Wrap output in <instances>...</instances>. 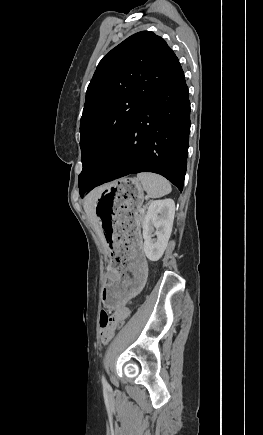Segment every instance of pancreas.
<instances>
[{"instance_id": "pancreas-1", "label": "pancreas", "mask_w": 263, "mask_h": 435, "mask_svg": "<svg viewBox=\"0 0 263 435\" xmlns=\"http://www.w3.org/2000/svg\"><path fill=\"white\" fill-rule=\"evenodd\" d=\"M146 208L147 207L145 206V208H144V210L142 212L139 209V215L137 216V219H138L139 222H143L144 217H145V210H146Z\"/></svg>"}]
</instances>
